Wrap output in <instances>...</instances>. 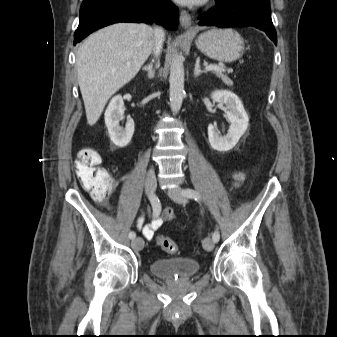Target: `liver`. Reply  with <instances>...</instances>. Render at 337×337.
<instances>
[{
	"label": "liver",
	"mask_w": 337,
	"mask_h": 337,
	"mask_svg": "<svg viewBox=\"0 0 337 337\" xmlns=\"http://www.w3.org/2000/svg\"><path fill=\"white\" fill-rule=\"evenodd\" d=\"M155 44L145 24L118 23L90 35L76 56L87 122L94 125L109 98L139 72Z\"/></svg>",
	"instance_id": "6515ba94"
}]
</instances>
